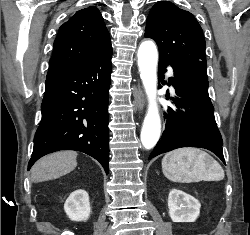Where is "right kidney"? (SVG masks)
<instances>
[{"label":"right kidney","mask_w":250,"mask_h":235,"mask_svg":"<svg viewBox=\"0 0 250 235\" xmlns=\"http://www.w3.org/2000/svg\"><path fill=\"white\" fill-rule=\"evenodd\" d=\"M64 210L72 221H86L90 216L88 193L82 189L72 192L64 204Z\"/></svg>","instance_id":"obj_1"}]
</instances>
